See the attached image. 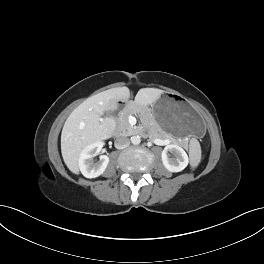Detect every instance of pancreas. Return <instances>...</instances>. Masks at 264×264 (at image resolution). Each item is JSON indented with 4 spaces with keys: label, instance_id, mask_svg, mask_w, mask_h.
Returning <instances> with one entry per match:
<instances>
[{
    "label": "pancreas",
    "instance_id": "cf45deb5",
    "mask_svg": "<svg viewBox=\"0 0 264 264\" xmlns=\"http://www.w3.org/2000/svg\"><path fill=\"white\" fill-rule=\"evenodd\" d=\"M137 106L135 104L130 105L128 108H126L122 113H120L119 117L117 118V128L120 132L124 134H132L135 132V127H133L129 122L128 118L129 115L136 114L137 113ZM152 135L155 137L160 136L156 132H152Z\"/></svg>",
    "mask_w": 264,
    "mask_h": 264
}]
</instances>
